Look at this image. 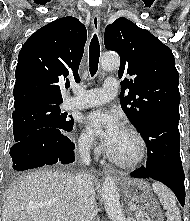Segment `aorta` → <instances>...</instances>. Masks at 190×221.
<instances>
[{
    "label": "aorta",
    "mask_w": 190,
    "mask_h": 221,
    "mask_svg": "<svg viewBox=\"0 0 190 221\" xmlns=\"http://www.w3.org/2000/svg\"><path fill=\"white\" fill-rule=\"evenodd\" d=\"M120 65V58L117 54H105L101 59V66L104 70H115ZM102 199L105 210L111 221H126L125 214L120 205L119 194L112 177L105 178L102 187Z\"/></svg>",
    "instance_id": "762f6f07"
}]
</instances>
